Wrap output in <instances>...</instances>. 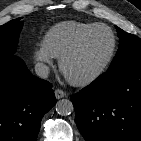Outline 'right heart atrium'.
Wrapping results in <instances>:
<instances>
[{"label":"right heart atrium","instance_id":"right-heart-atrium-1","mask_svg":"<svg viewBox=\"0 0 141 141\" xmlns=\"http://www.w3.org/2000/svg\"><path fill=\"white\" fill-rule=\"evenodd\" d=\"M33 56L36 64L43 72L53 66V57L42 45L34 50Z\"/></svg>","mask_w":141,"mask_h":141}]
</instances>
